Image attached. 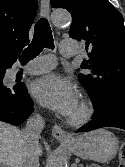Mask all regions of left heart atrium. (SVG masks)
I'll return each instance as SVG.
<instances>
[{"label": "left heart atrium", "mask_w": 125, "mask_h": 167, "mask_svg": "<svg viewBox=\"0 0 125 167\" xmlns=\"http://www.w3.org/2000/svg\"><path fill=\"white\" fill-rule=\"evenodd\" d=\"M31 93L41 105L62 115H71L78 105L74 85L58 73H50L36 80Z\"/></svg>", "instance_id": "39dd6f15"}]
</instances>
